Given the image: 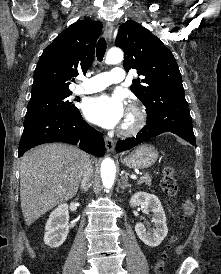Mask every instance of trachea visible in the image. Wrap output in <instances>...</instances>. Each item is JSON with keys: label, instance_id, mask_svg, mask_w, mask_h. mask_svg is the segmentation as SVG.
Returning <instances> with one entry per match:
<instances>
[{"label": "trachea", "instance_id": "obj_1", "mask_svg": "<svg viewBox=\"0 0 221 274\" xmlns=\"http://www.w3.org/2000/svg\"><path fill=\"white\" fill-rule=\"evenodd\" d=\"M106 41L104 38H100L98 43H97V47H96V57L97 59L102 62L104 54L106 52Z\"/></svg>", "mask_w": 221, "mask_h": 274}]
</instances>
